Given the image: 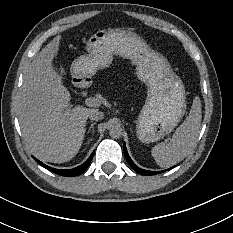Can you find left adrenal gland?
Here are the masks:
<instances>
[{"instance_id":"1","label":"left adrenal gland","mask_w":233,"mask_h":233,"mask_svg":"<svg viewBox=\"0 0 233 233\" xmlns=\"http://www.w3.org/2000/svg\"><path fill=\"white\" fill-rule=\"evenodd\" d=\"M131 134H133V129L131 128Z\"/></svg>"}]
</instances>
